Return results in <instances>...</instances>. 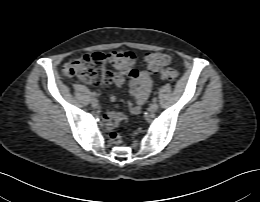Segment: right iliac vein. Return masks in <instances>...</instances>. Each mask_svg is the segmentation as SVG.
I'll use <instances>...</instances> for the list:
<instances>
[{"label":"right iliac vein","mask_w":260,"mask_h":202,"mask_svg":"<svg viewBox=\"0 0 260 202\" xmlns=\"http://www.w3.org/2000/svg\"><path fill=\"white\" fill-rule=\"evenodd\" d=\"M91 105H92L93 107H96V106L98 105V100H97L96 98H92V99H91Z\"/></svg>","instance_id":"obj_1"}]
</instances>
